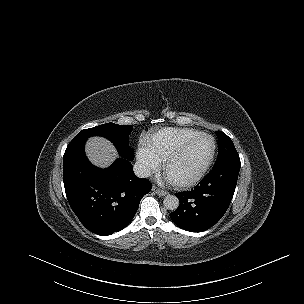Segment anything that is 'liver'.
<instances>
[{
	"label": "liver",
	"instance_id": "liver-1",
	"mask_svg": "<svg viewBox=\"0 0 304 304\" xmlns=\"http://www.w3.org/2000/svg\"><path fill=\"white\" fill-rule=\"evenodd\" d=\"M85 150L89 160L101 168L110 166L119 157L113 144L102 137L90 138Z\"/></svg>",
	"mask_w": 304,
	"mask_h": 304
}]
</instances>
